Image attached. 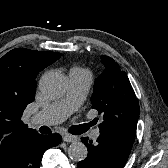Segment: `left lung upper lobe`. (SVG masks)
Returning a JSON list of instances; mask_svg holds the SVG:
<instances>
[{"mask_svg": "<svg viewBox=\"0 0 168 168\" xmlns=\"http://www.w3.org/2000/svg\"><path fill=\"white\" fill-rule=\"evenodd\" d=\"M104 72L96 79L92 108L103 114L100 131L110 132L134 142L139 104L124 71L110 57L101 56Z\"/></svg>", "mask_w": 168, "mask_h": 168, "instance_id": "left-lung-upper-lobe-1", "label": "left lung upper lobe"}]
</instances>
